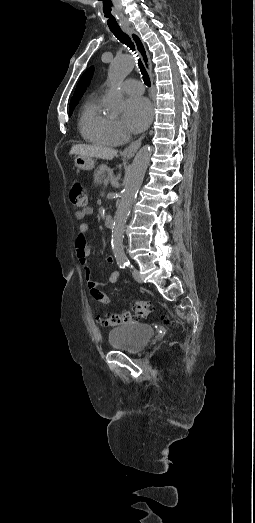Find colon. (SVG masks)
<instances>
[{
	"label": "colon",
	"mask_w": 255,
	"mask_h": 523,
	"mask_svg": "<svg viewBox=\"0 0 255 523\" xmlns=\"http://www.w3.org/2000/svg\"><path fill=\"white\" fill-rule=\"evenodd\" d=\"M70 202L72 205L81 210L87 206L88 198L83 186L80 183H75L70 190ZM91 294L93 298L102 304L109 302L108 296L99 290L97 287H91ZM134 311H123L119 314H107L102 318V323L105 326L113 327L123 323L132 322L135 320L146 318L152 311V304L149 301L140 300L133 303ZM164 322H170L168 317H164Z\"/></svg>",
	"instance_id": "obj_1"
}]
</instances>
